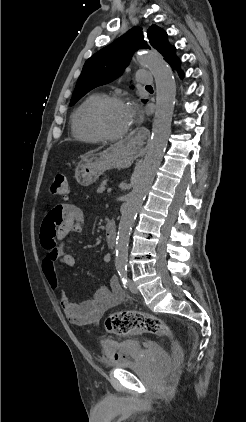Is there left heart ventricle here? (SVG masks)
<instances>
[{
  "instance_id": "1",
  "label": "left heart ventricle",
  "mask_w": 246,
  "mask_h": 422,
  "mask_svg": "<svg viewBox=\"0 0 246 422\" xmlns=\"http://www.w3.org/2000/svg\"><path fill=\"white\" fill-rule=\"evenodd\" d=\"M101 121L104 128L110 133H120L124 131L130 126L126 105H108L101 113Z\"/></svg>"
}]
</instances>
